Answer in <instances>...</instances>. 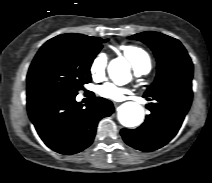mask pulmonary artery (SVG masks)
I'll list each match as a JSON object with an SVG mask.
<instances>
[{"mask_svg": "<svg viewBox=\"0 0 212 183\" xmlns=\"http://www.w3.org/2000/svg\"><path fill=\"white\" fill-rule=\"evenodd\" d=\"M147 72H148L147 70L137 71L138 74H146Z\"/></svg>", "mask_w": 212, "mask_h": 183, "instance_id": "obj_1", "label": "pulmonary artery"}]
</instances>
